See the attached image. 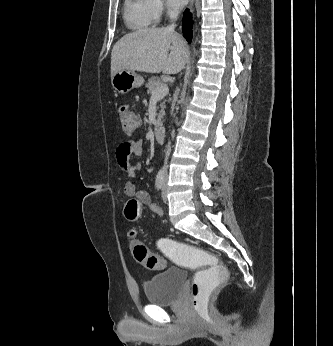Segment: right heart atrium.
Masks as SVG:
<instances>
[{
	"mask_svg": "<svg viewBox=\"0 0 333 346\" xmlns=\"http://www.w3.org/2000/svg\"><path fill=\"white\" fill-rule=\"evenodd\" d=\"M148 3L151 15L155 21H159L164 14L173 15L176 12L164 0H148Z\"/></svg>",
	"mask_w": 333,
	"mask_h": 346,
	"instance_id": "obj_1",
	"label": "right heart atrium"
}]
</instances>
